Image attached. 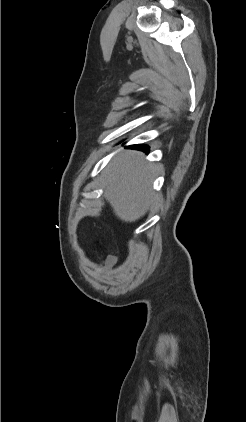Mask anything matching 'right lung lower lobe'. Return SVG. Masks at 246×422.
Segmentation results:
<instances>
[{"label": "right lung lower lobe", "instance_id": "right-lung-lower-lobe-1", "mask_svg": "<svg viewBox=\"0 0 246 422\" xmlns=\"http://www.w3.org/2000/svg\"><path fill=\"white\" fill-rule=\"evenodd\" d=\"M133 148L141 150V151H146V152L149 149L147 145H141V144L133 145Z\"/></svg>", "mask_w": 246, "mask_h": 422}]
</instances>
